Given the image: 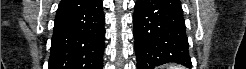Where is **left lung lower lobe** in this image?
<instances>
[{
	"instance_id": "obj_1",
	"label": "left lung lower lobe",
	"mask_w": 246,
	"mask_h": 69,
	"mask_svg": "<svg viewBox=\"0 0 246 69\" xmlns=\"http://www.w3.org/2000/svg\"><path fill=\"white\" fill-rule=\"evenodd\" d=\"M133 22L137 69L168 62L192 66L183 12L167 0H137Z\"/></svg>"
}]
</instances>
